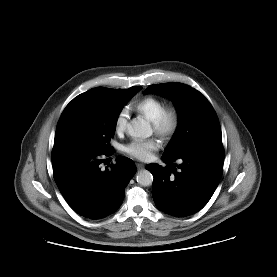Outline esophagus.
I'll return each mask as SVG.
<instances>
[{"label": "esophagus", "mask_w": 277, "mask_h": 277, "mask_svg": "<svg viewBox=\"0 0 277 277\" xmlns=\"http://www.w3.org/2000/svg\"><path fill=\"white\" fill-rule=\"evenodd\" d=\"M144 167H145L144 164H142V163H137V168H138V169H143Z\"/></svg>", "instance_id": "1"}]
</instances>
